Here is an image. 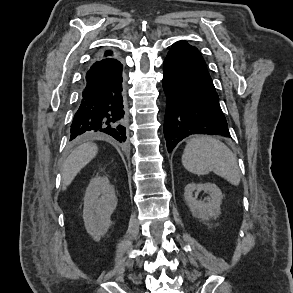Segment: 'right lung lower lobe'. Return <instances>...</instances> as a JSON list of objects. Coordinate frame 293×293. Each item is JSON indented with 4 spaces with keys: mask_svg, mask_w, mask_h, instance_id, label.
I'll use <instances>...</instances> for the list:
<instances>
[{
    "mask_svg": "<svg viewBox=\"0 0 293 293\" xmlns=\"http://www.w3.org/2000/svg\"><path fill=\"white\" fill-rule=\"evenodd\" d=\"M122 69L117 59H97L90 66L71 125L70 141L77 137L111 136L125 142Z\"/></svg>",
    "mask_w": 293,
    "mask_h": 293,
    "instance_id": "right-lung-lower-lobe-1",
    "label": "right lung lower lobe"
}]
</instances>
